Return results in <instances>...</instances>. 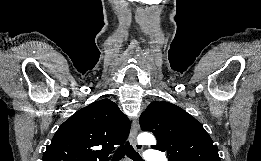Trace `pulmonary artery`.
I'll return each mask as SVG.
<instances>
[{
	"mask_svg": "<svg viewBox=\"0 0 261 161\" xmlns=\"http://www.w3.org/2000/svg\"><path fill=\"white\" fill-rule=\"evenodd\" d=\"M145 159L147 161H167V158L165 156L157 157L153 155L152 153L145 154Z\"/></svg>",
	"mask_w": 261,
	"mask_h": 161,
	"instance_id": "1",
	"label": "pulmonary artery"
}]
</instances>
